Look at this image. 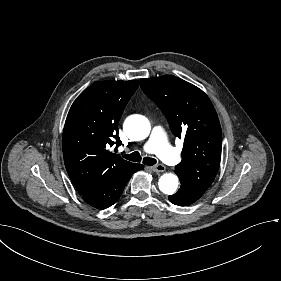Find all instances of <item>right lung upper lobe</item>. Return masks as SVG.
Instances as JSON below:
<instances>
[{"label":"right lung upper lobe","mask_w":281,"mask_h":281,"mask_svg":"<svg viewBox=\"0 0 281 281\" xmlns=\"http://www.w3.org/2000/svg\"><path fill=\"white\" fill-rule=\"evenodd\" d=\"M138 81H101L72 104L63 131L68 175L81 195L91 193L130 171L135 163L110 152L121 144L117 125Z\"/></svg>","instance_id":"1"}]
</instances>
